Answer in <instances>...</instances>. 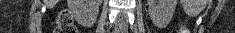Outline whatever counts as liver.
Listing matches in <instances>:
<instances>
[{
    "instance_id": "6515ba94",
    "label": "liver",
    "mask_w": 235,
    "mask_h": 33,
    "mask_svg": "<svg viewBox=\"0 0 235 33\" xmlns=\"http://www.w3.org/2000/svg\"><path fill=\"white\" fill-rule=\"evenodd\" d=\"M55 3H57V0H55V1L45 0V4L47 5L48 8L53 7Z\"/></svg>"
}]
</instances>
